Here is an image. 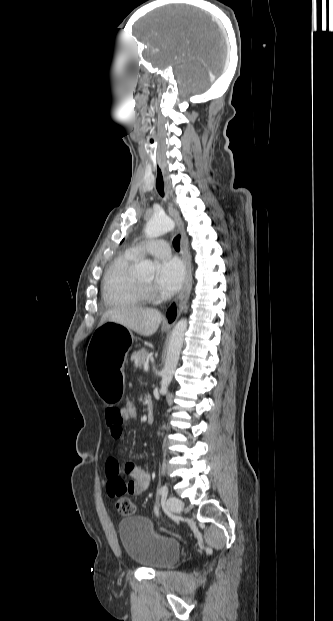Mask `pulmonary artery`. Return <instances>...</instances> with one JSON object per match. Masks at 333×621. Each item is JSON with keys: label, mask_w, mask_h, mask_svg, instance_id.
<instances>
[{"label": "pulmonary artery", "mask_w": 333, "mask_h": 621, "mask_svg": "<svg viewBox=\"0 0 333 621\" xmlns=\"http://www.w3.org/2000/svg\"><path fill=\"white\" fill-rule=\"evenodd\" d=\"M129 252L135 256L149 254L155 257L164 258L170 255V248L166 241L158 240L134 245L129 249Z\"/></svg>", "instance_id": "obj_1"}]
</instances>
